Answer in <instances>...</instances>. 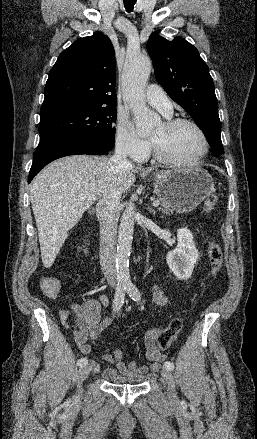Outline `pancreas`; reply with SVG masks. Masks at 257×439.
I'll return each mask as SVG.
<instances>
[{"instance_id":"1","label":"pancreas","mask_w":257,"mask_h":439,"mask_svg":"<svg viewBox=\"0 0 257 439\" xmlns=\"http://www.w3.org/2000/svg\"><path fill=\"white\" fill-rule=\"evenodd\" d=\"M158 201L161 202L160 207L158 208L159 211H161L164 214L170 215L173 214V212L175 211V209L165 200L162 199H158Z\"/></svg>"}]
</instances>
